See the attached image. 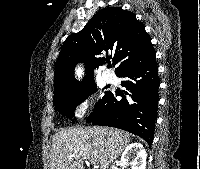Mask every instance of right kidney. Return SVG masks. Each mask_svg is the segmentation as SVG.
Here are the masks:
<instances>
[{"mask_svg": "<svg viewBox=\"0 0 200 169\" xmlns=\"http://www.w3.org/2000/svg\"><path fill=\"white\" fill-rule=\"evenodd\" d=\"M146 151L142 144L132 143L128 145L121 156V164L131 165V169H145L146 168ZM130 158L132 162L129 163Z\"/></svg>", "mask_w": 200, "mask_h": 169, "instance_id": "ca27d5eb", "label": "right kidney"}]
</instances>
